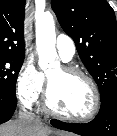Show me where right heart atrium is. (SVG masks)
Returning a JSON list of instances; mask_svg holds the SVG:
<instances>
[{
  "label": "right heart atrium",
  "instance_id": "obj_1",
  "mask_svg": "<svg viewBox=\"0 0 117 136\" xmlns=\"http://www.w3.org/2000/svg\"><path fill=\"white\" fill-rule=\"evenodd\" d=\"M45 88V77L32 63H25L16 79V95L25 107L37 105Z\"/></svg>",
  "mask_w": 117,
  "mask_h": 136
}]
</instances>
